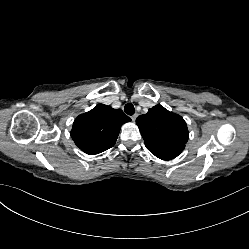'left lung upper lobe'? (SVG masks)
Wrapping results in <instances>:
<instances>
[{
	"label": "left lung upper lobe",
	"mask_w": 249,
	"mask_h": 249,
	"mask_svg": "<svg viewBox=\"0 0 249 249\" xmlns=\"http://www.w3.org/2000/svg\"><path fill=\"white\" fill-rule=\"evenodd\" d=\"M146 148L162 160L177 157L185 148L189 133L184 119L161 105L136 119Z\"/></svg>",
	"instance_id": "1"
}]
</instances>
